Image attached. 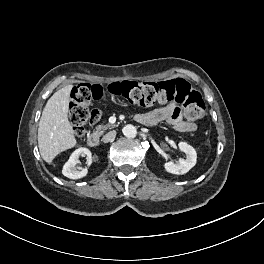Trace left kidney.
<instances>
[{
	"label": "left kidney",
	"instance_id": "obj_1",
	"mask_svg": "<svg viewBox=\"0 0 264 264\" xmlns=\"http://www.w3.org/2000/svg\"><path fill=\"white\" fill-rule=\"evenodd\" d=\"M178 146L186 154V159H179L176 163L166 162L164 168L172 174H185L196 164L197 153L195 149L186 142H179Z\"/></svg>",
	"mask_w": 264,
	"mask_h": 264
}]
</instances>
